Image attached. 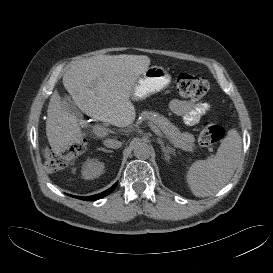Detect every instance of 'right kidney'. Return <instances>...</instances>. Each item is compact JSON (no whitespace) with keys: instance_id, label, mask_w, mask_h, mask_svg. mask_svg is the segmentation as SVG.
Returning a JSON list of instances; mask_svg holds the SVG:
<instances>
[{"instance_id":"1","label":"right kidney","mask_w":273,"mask_h":273,"mask_svg":"<svg viewBox=\"0 0 273 273\" xmlns=\"http://www.w3.org/2000/svg\"><path fill=\"white\" fill-rule=\"evenodd\" d=\"M104 164L97 159H92L86 163L83 168V176L85 179H93L102 174Z\"/></svg>"}]
</instances>
